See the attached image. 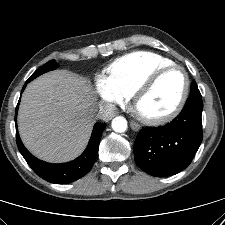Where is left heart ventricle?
I'll use <instances>...</instances> for the list:
<instances>
[{"label":"left heart ventricle","instance_id":"obj_1","mask_svg":"<svg viewBox=\"0 0 225 225\" xmlns=\"http://www.w3.org/2000/svg\"><path fill=\"white\" fill-rule=\"evenodd\" d=\"M183 83L184 76L181 71L166 73L141 99L138 110L146 116H159L170 111L181 95Z\"/></svg>","mask_w":225,"mask_h":225}]
</instances>
